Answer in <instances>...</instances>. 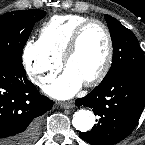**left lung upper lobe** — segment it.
<instances>
[{
	"mask_svg": "<svg viewBox=\"0 0 145 145\" xmlns=\"http://www.w3.org/2000/svg\"><path fill=\"white\" fill-rule=\"evenodd\" d=\"M105 19L113 42V61L101 83L124 73L145 76V58L133 32L109 15Z\"/></svg>",
	"mask_w": 145,
	"mask_h": 145,
	"instance_id": "left-lung-upper-lobe-1",
	"label": "left lung upper lobe"
}]
</instances>
